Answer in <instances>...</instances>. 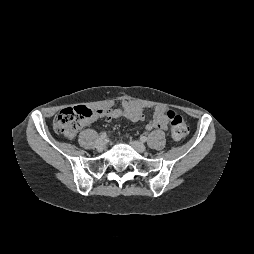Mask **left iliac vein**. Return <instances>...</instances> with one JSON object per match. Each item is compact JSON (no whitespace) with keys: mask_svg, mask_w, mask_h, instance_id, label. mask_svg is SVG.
<instances>
[{"mask_svg":"<svg viewBox=\"0 0 254 254\" xmlns=\"http://www.w3.org/2000/svg\"><path fill=\"white\" fill-rule=\"evenodd\" d=\"M131 146L139 153H143L146 151L145 145L140 141H132Z\"/></svg>","mask_w":254,"mask_h":254,"instance_id":"1","label":"left iliac vein"}]
</instances>
